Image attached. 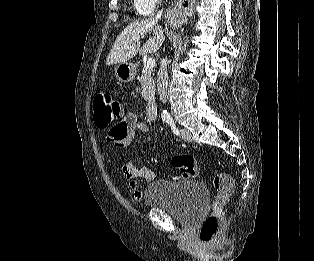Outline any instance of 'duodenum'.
Segmentation results:
<instances>
[{"label":"duodenum","mask_w":314,"mask_h":261,"mask_svg":"<svg viewBox=\"0 0 314 261\" xmlns=\"http://www.w3.org/2000/svg\"><path fill=\"white\" fill-rule=\"evenodd\" d=\"M146 115L150 120H154L157 115L156 105L153 102H149L146 107Z\"/></svg>","instance_id":"1"}]
</instances>
